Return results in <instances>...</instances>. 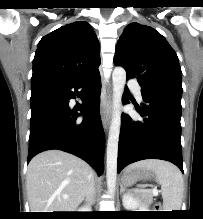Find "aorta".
<instances>
[{"mask_svg": "<svg viewBox=\"0 0 203 219\" xmlns=\"http://www.w3.org/2000/svg\"><path fill=\"white\" fill-rule=\"evenodd\" d=\"M113 81V117L110 125L107 143V186L109 193L115 192L117 178V156L121 125V103L126 82V71L122 67H115L112 73Z\"/></svg>", "mask_w": 203, "mask_h": 219, "instance_id": "762f6f07", "label": "aorta"}]
</instances>
